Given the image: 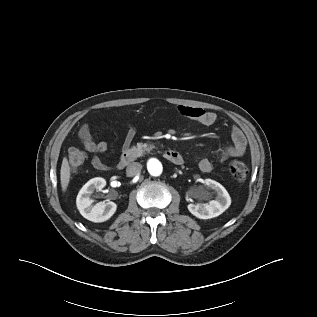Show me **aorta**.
<instances>
[{
	"instance_id": "aorta-1",
	"label": "aorta",
	"mask_w": 317,
	"mask_h": 317,
	"mask_svg": "<svg viewBox=\"0 0 317 317\" xmlns=\"http://www.w3.org/2000/svg\"><path fill=\"white\" fill-rule=\"evenodd\" d=\"M147 168L149 173L153 176H159L163 171L161 162L155 158L148 161Z\"/></svg>"
}]
</instances>
